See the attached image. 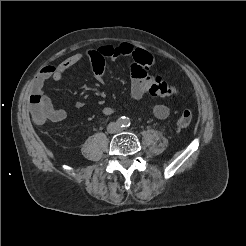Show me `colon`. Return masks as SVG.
Returning a JSON list of instances; mask_svg holds the SVG:
<instances>
[{"label":"colon","mask_w":246,"mask_h":246,"mask_svg":"<svg viewBox=\"0 0 246 246\" xmlns=\"http://www.w3.org/2000/svg\"><path fill=\"white\" fill-rule=\"evenodd\" d=\"M132 61L136 68L139 69L141 72H145L155 63L152 54L139 48H136L133 51ZM148 93L151 96L155 97H167L177 95L179 93V90L175 86L164 82L160 78H156L150 84ZM29 102L33 119L38 124L45 123L50 111L48 103L39 94H32ZM192 117V112L190 110H184L177 119L178 127L185 128L189 126L192 121Z\"/></svg>","instance_id":"obj_1"}]
</instances>
